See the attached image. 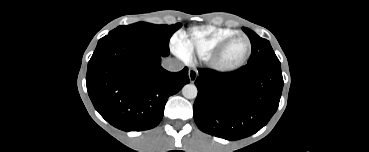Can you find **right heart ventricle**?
<instances>
[{"label": "right heart ventricle", "instance_id": "obj_1", "mask_svg": "<svg viewBox=\"0 0 369 152\" xmlns=\"http://www.w3.org/2000/svg\"><path fill=\"white\" fill-rule=\"evenodd\" d=\"M236 33H238L236 30L230 28L194 27L178 35L179 52L188 61L193 59L204 60L220 42Z\"/></svg>", "mask_w": 369, "mask_h": 152}]
</instances>
